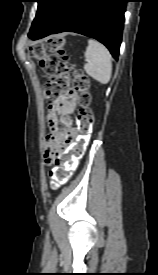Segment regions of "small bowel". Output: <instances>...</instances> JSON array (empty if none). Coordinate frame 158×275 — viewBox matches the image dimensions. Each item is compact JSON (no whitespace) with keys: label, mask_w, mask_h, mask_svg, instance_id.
<instances>
[{"label":"small bowel","mask_w":158,"mask_h":275,"mask_svg":"<svg viewBox=\"0 0 158 275\" xmlns=\"http://www.w3.org/2000/svg\"><path fill=\"white\" fill-rule=\"evenodd\" d=\"M76 98V93L69 91L65 97L48 106V136L44 145V159L47 164L52 163L78 137L71 119L76 109Z\"/></svg>","instance_id":"c3829d8e"}]
</instances>
